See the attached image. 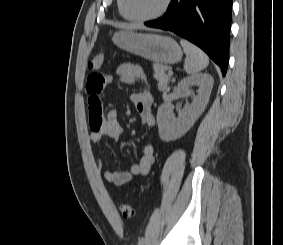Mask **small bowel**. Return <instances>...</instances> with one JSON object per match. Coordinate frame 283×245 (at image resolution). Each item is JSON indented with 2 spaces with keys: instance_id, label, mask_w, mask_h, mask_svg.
<instances>
[{
  "instance_id": "small-bowel-1",
  "label": "small bowel",
  "mask_w": 283,
  "mask_h": 245,
  "mask_svg": "<svg viewBox=\"0 0 283 245\" xmlns=\"http://www.w3.org/2000/svg\"><path fill=\"white\" fill-rule=\"evenodd\" d=\"M116 76L123 83L134 84L141 83L149 86L147 75L144 70L131 63H122L116 69ZM112 82V77L102 73L93 72L89 74L86 81V92L88 94L89 125L91 133L89 140L92 143H100L103 137L114 140L119 139L123 134V128L118 121V112L115 108H110L105 114L103 113L100 94L103 89ZM136 110L140 116L141 122L146 127H154L155 117L152 112L154 100L150 88L131 95ZM155 162L154 148L147 144L142 148L140 161L132 165L128 171H117L104 168L103 161L96 160L97 176L114 185L121 186L129 182L132 177L147 175Z\"/></svg>"
}]
</instances>
